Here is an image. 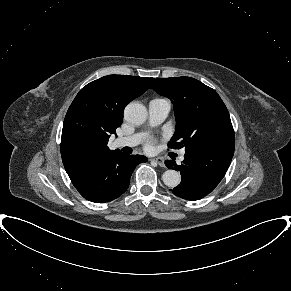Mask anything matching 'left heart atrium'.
<instances>
[{"label": "left heart atrium", "mask_w": 291, "mask_h": 291, "mask_svg": "<svg viewBox=\"0 0 291 291\" xmlns=\"http://www.w3.org/2000/svg\"><path fill=\"white\" fill-rule=\"evenodd\" d=\"M146 148L148 150H151L153 148V141H148L147 144H146Z\"/></svg>", "instance_id": "obj_1"}]
</instances>
